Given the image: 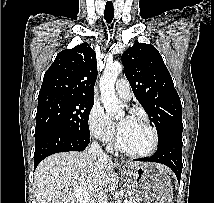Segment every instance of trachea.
Segmentation results:
<instances>
[{
    "mask_svg": "<svg viewBox=\"0 0 214 203\" xmlns=\"http://www.w3.org/2000/svg\"><path fill=\"white\" fill-rule=\"evenodd\" d=\"M104 15L106 22L110 24L114 17V7L112 3L106 4Z\"/></svg>",
    "mask_w": 214,
    "mask_h": 203,
    "instance_id": "obj_1",
    "label": "trachea"
}]
</instances>
